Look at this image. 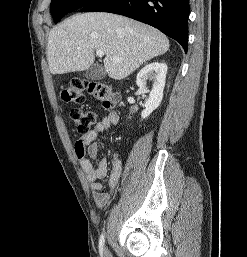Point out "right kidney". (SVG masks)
<instances>
[{
	"instance_id": "right-kidney-1",
	"label": "right kidney",
	"mask_w": 247,
	"mask_h": 257,
	"mask_svg": "<svg viewBox=\"0 0 247 257\" xmlns=\"http://www.w3.org/2000/svg\"><path fill=\"white\" fill-rule=\"evenodd\" d=\"M167 69L165 63L153 62L143 67L137 74L136 84L140 88L144 87L147 78L154 79L152 90L145 102V109L141 113L142 119L147 118L160 105Z\"/></svg>"
}]
</instances>
